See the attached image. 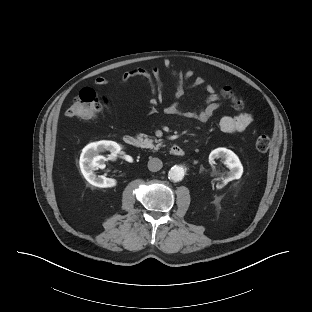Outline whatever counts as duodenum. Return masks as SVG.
<instances>
[{"instance_id":"duodenum-1","label":"duodenum","mask_w":312,"mask_h":312,"mask_svg":"<svg viewBox=\"0 0 312 312\" xmlns=\"http://www.w3.org/2000/svg\"><path fill=\"white\" fill-rule=\"evenodd\" d=\"M123 141L127 146L139 147L141 145L140 140L134 135H125ZM171 153L175 156H182L184 154V149L180 145H173L170 149Z\"/></svg>"}]
</instances>
